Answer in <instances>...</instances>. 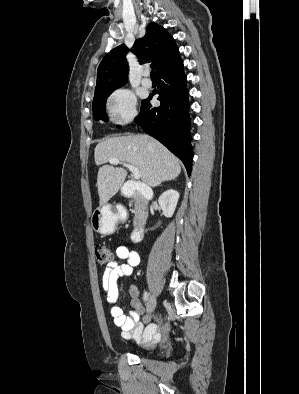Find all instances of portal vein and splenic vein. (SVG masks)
<instances>
[{
    "label": "portal vein and splenic vein",
    "mask_w": 299,
    "mask_h": 394,
    "mask_svg": "<svg viewBox=\"0 0 299 394\" xmlns=\"http://www.w3.org/2000/svg\"><path fill=\"white\" fill-rule=\"evenodd\" d=\"M109 162L111 164L123 163L117 158H111V159H109ZM123 165L125 167H127L132 172V175H133L134 179H136V180L140 179L141 173H140L139 169H137L135 166H133L131 164H128V163H125V162L123 163Z\"/></svg>",
    "instance_id": "obj_1"
}]
</instances>
